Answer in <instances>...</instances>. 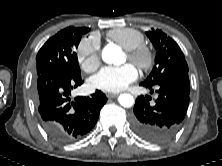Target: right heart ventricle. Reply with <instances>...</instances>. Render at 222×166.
Returning a JSON list of instances; mask_svg holds the SVG:
<instances>
[{"mask_svg":"<svg viewBox=\"0 0 222 166\" xmlns=\"http://www.w3.org/2000/svg\"><path fill=\"white\" fill-rule=\"evenodd\" d=\"M107 37L121 45L124 49L129 50L144 44L143 35L132 28H118L110 30Z\"/></svg>","mask_w":222,"mask_h":166,"instance_id":"e07e8e85","label":"right heart ventricle"}]
</instances>
